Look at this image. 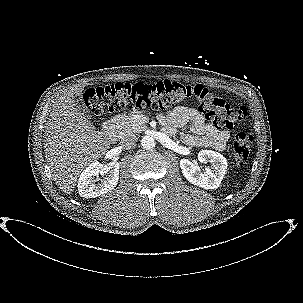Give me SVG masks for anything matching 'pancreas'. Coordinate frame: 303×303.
Here are the masks:
<instances>
[{
  "label": "pancreas",
  "instance_id": "cf45deb5",
  "mask_svg": "<svg viewBox=\"0 0 303 303\" xmlns=\"http://www.w3.org/2000/svg\"><path fill=\"white\" fill-rule=\"evenodd\" d=\"M115 127L119 137H124L133 133H140L146 129L145 123L140 116L119 115L115 120Z\"/></svg>",
  "mask_w": 303,
  "mask_h": 303
}]
</instances>
